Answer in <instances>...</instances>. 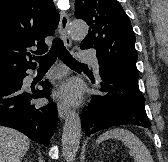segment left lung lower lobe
<instances>
[{
  "instance_id": "0a47b994",
  "label": "left lung lower lobe",
  "mask_w": 168,
  "mask_h": 162,
  "mask_svg": "<svg viewBox=\"0 0 168 162\" xmlns=\"http://www.w3.org/2000/svg\"><path fill=\"white\" fill-rule=\"evenodd\" d=\"M103 95H95L82 111V130L85 136L111 126L133 124L151 128L145 111V99L139 90L138 79L113 70L100 71Z\"/></svg>"
}]
</instances>
